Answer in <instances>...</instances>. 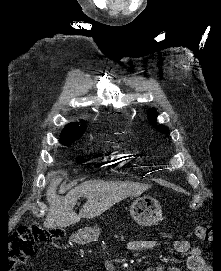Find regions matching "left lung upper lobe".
Instances as JSON below:
<instances>
[{
	"instance_id": "1",
	"label": "left lung upper lobe",
	"mask_w": 221,
	"mask_h": 271,
	"mask_svg": "<svg viewBox=\"0 0 221 271\" xmlns=\"http://www.w3.org/2000/svg\"><path fill=\"white\" fill-rule=\"evenodd\" d=\"M147 114H148V119H149V121H150L152 124H154L155 121H156V119H157V112H156V110H155L154 108H152V109H150V110L147 111ZM154 127H155L156 129H158V130H159L160 132H162V133H168V128L165 127L164 125H160V126L154 125Z\"/></svg>"
}]
</instances>
